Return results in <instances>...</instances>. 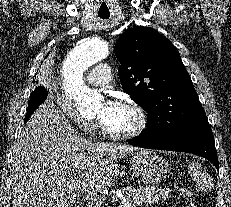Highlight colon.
<instances>
[{
  "mask_svg": "<svg viewBox=\"0 0 231 207\" xmlns=\"http://www.w3.org/2000/svg\"><path fill=\"white\" fill-rule=\"evenodd\" d=\"M180 194L184 199L183 207H200L199 203L193 198V192L189 187H182L180 189Z\"/></svg>",
  "mask_w": 231,
  "mask_h": 207,
  "instance_id": "obj_1",
  "label": "colon"
}]
</instances>
